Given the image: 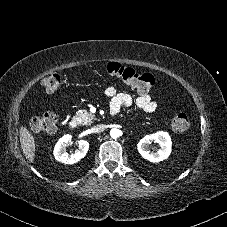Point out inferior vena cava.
<instances>
[{
  "instance_id": "1",
  "label": "inferior vena cava",
  "mask_w": 227,
  "mask_h": 227,
  "mask_svg": "<svg viewBox=\"0 0 227 227\" xmlns=\"http://www.w3.org/2000/svg\"><path fill=\"white\" fill-rule=\"evenodd\" d=\"M105 128H106L105 125L99 124V125H97V126H94V127L92 128V131H93L94 133H100V132H103V131L105 130Z\"/></svg>"
}]
</instances>
